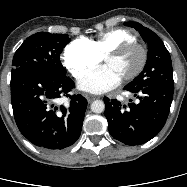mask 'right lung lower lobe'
<instances>
[{"mask_svg": "<svg viewBox=\"0 0 187 187\" xmlns=\"http://www.w3.org/2000/svg\"><path fill=\"white\" fill-rule=\"evenodd\" d=\"M11 102L16 124L34 145L46 150H61L73 145L80 136L87 100L70 96L75 87L66 75L19 70L11 73ZM61 96L71 98L68 108H52Z\"/></svg>", "mask_w": 187, "mask_h": 187, "instance_id": "right-lung-lower-lobe-1", "label": "right lung lower lobe"}]
</instances>
